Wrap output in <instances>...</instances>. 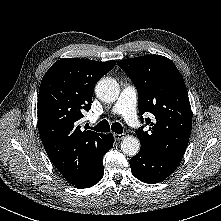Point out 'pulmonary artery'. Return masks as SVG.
<instances>
[{
    "instance_id": "obj_1",
    "label": "pulmonary artery",
    "mask_w": 221,
    "mask_h": 221,
    "mask_svg": "<svg viewBox=\"0 0 221 221\" xmlns=\"http://www.w3.org/2000/svg\"><path fill=\"white\" fill-rule=\"evenodd\" d=\"M136 105V90L131 86H127L123 89L118 100L113 105L112 113L121 115L128 125L136 127L139 123L136 113Z\"/></svg>"
}]
</instances>
